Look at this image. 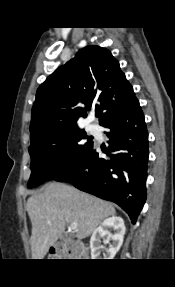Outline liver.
Here are the masks:
<instances>
[{"label": "liver", "instance_id": "6515ba94", "mask_svg": "<svg viewBox=\"0 0 175 287\" xmlns=\"http://www.w3.org/2000/svg\"><path fill=\"white\" fill-rule=\"evenodd\" d=\"M26 210L32 223L33 259L45 257L67 224H78L76 237L81 240L90 236L104 219L116 214L112 204L58 182L33 194L27 200Z\"/></svg>", "mask_w": 175, "mask_h": 287}]
</instances>
